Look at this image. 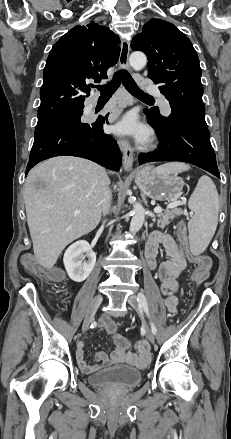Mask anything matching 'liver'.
I'll return each instance as SVG.
<instances>
[{
    "label": "liver",
    "mask_w": 231,
    "mask_h": 439,
    "mask_svg": "<svg viewBox=\"0 0 231 439\" xmlns=\"http://www.w3.org/2000/svg\"><path fill=\"white\" fill-rule=\"evenodd\" d=\"M105 178L103 167L74 156L50 158L29 172L24 201L41 266L51 269L69 243L97 227ZM76 210L80 213L75 214Z\"/></svg>",
    "instance_id": "1"
}]
</instances>
